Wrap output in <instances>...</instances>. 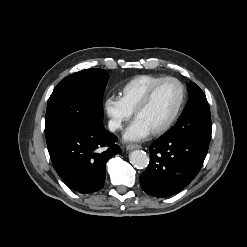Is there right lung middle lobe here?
Masks as SVG:
<instances>
[{"mask_svg": "<svg viewBox=\"0 0 247 247\" xmlns=\"http://www.w3.org/2000/svg\"><path fill=\"white\" fill-rule=\"evenodd\" d=\"M109 75L86 69L65 77L54 88L47 104L45 135L102 124V97Z\"/></svg>", "mask_w": 247, "mask_h": 247, "instance_id": "dd1d6c3e", "label": "right lung middle lobe"}]
</instances>
